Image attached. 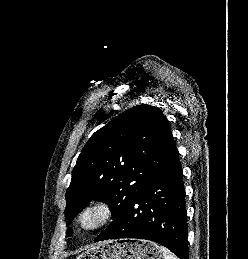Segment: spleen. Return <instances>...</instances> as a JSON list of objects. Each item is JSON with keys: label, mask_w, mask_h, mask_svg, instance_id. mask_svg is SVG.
<instances>
[{"label": "spleen", "mask_w": 248, "mask_h": 259, "mask_svg": "<svg viewBox=\"0 0 248 259\" xmlns=\"http://www.w3.org/2000/svg\"><path fill=\"white\" fill-rule=\"evenodd\" d=\"M159 249L163 254V259H179L177 256H175L170 250H168L164 246H160Z\"/></svg>", "instance_id": "3e777b00"}]
</instances>
